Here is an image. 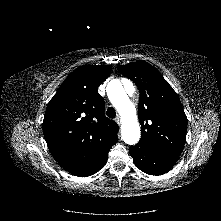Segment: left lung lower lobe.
<instances>
[{"label": "left lung lower lobe", "mask_w": 221, "mask_h": 221, "mask_svg": "<svg viewBox=\"0 0 221 221\" xmlns=\"http://www.w3.org/2000/svg\"><path fill=\"white\" fill-rule=\"evenodd\" d=\"M129 152L135 165L149 175L168 172L179 159V156L159 152L142 143L131 146Z\"/></svg>", "instance_id": "0a47b994"}]
</instances>
